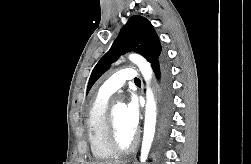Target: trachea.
Returning a JSON list of instances; mask_svg holds the SVG:
<instances>
[{
	"label": "trachea",
	"instance_id": "3493384b",
	"mask_svg": "<svg viewBox=\"0 0 251 164\" xmlns=\"http://www.w3.org/2000/svg\"><path fill=\"white\" fill-rule=\"evenodd\" d=\"M140 82V79L139 78H136L135 79V83H139Z\"/></svg>",
	"mask_w": 251,
	"mask_h": 164
}]
</instances>
